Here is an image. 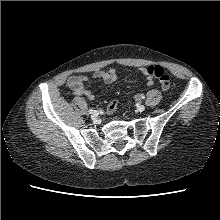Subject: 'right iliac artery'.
Segmentation results:
<instances>
[{
  "instance_id": "82829eb1",
  "label": "right iliac artery",
  "mask_w": 220,
  "mask_h": 220,
  "mask_svg": "<svg viewBox=\"0 0 220 220\" xmlns=\"http://www.w3.org/2000/svg\"><path fill=\"white\" fill-rule=\"evenodd\" d=\"M88 112H89L90 114H92V113L94 112V110H93V109H90Z\"/></svg>"
}]
</instances>
